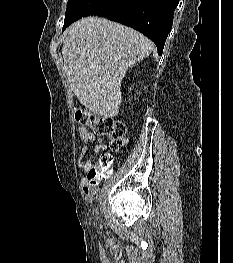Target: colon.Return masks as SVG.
<instances>
[{
    "mask_svg": "<svg viewBox=\"0 0 233 263\" xmlns=\"http://www.w3.org/2000/svg\"><path fill=\"white\" fill-rule=\"evenodd\" d=\"M76 120L79 124L90 127L95 134L107 136L113 153L119 152L127 144L126 127L122 122L99 117L80 109L76 111ZM113 162L111 153L101 154L86 175L88 183L95 188L98 180H108Z\"/></svg>",
    "mask_w": 233,
    "mask_h": 263,
    "instance_id": "5ec220e1",
    "label": "colon"
}]
</instances>
